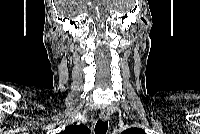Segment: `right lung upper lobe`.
<instances>
[{
  "label": "right lung upper lobe",
  "mask_w": 200,
  "mask_h": 134,
  "mask_svg": "<svg viewBox=\"0 0 200 134\" xmlns=\"http://www.w3.org/2000/svg\"><path fill=\"white\" fill-rule=\"evenodd\" d=\"M89 129L84 125H72L67 127L61 134H89Z\"/></svg>",
  "instance_id": "right-lung-upper-lobe-1"
}]
</instances>
